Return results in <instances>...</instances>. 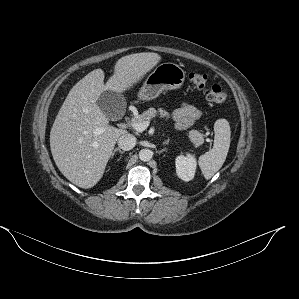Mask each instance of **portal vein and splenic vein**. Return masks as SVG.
<instances>
[{
	"label": "portal vein and splenic vein",
	"mask_w": 299,
	"mask_h": 299,
	"mask_svg": "<svg viewBox=\"0 0 299 299\" xmlns=\"http://www.w3.org/2000/svg\"><path fill=\"white\" fill-rule=\"evenodd\" d=\"M128 125L133 127V129L136 130L137 132H142V131L146 130L147 127L149 126V121H146L143 123L131 122ZM102 132H103V130H98L97 133L100 134Z\"/></svg>",
	"instance_id": "1"
}]
</instances>
